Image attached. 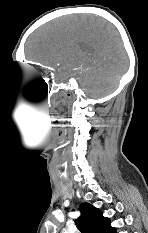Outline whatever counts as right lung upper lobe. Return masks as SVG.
I'll return each instance as SVG.
<instances>
[{
	"mask_svg": "<svg viewBox=\"0 0 148 233\" xmlns=\"http://www.w3.org/2000/svg\"><path fill=\"white\" fill-rule=\"evenodd\" d=\"M80 211L81 216L75 220V224L81 233H116L110 219L104 217L98 208L82 203Z\"/></svg>",
	"mask_w": 148,
	"mask_h": 233,
	"instance_id": "1",
	"label": "right lung upper lobe"
}]
</instances>
